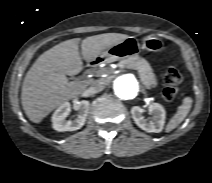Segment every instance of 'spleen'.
Instances as JSON below:
<instances>
[{"mask_svg":"<svg viewBox=\"0 0 212 183\" xmlns=\"http://www.w3.org/2000/svg\"><path fill=\"white\" fill-rule=\"evenodd\" d=\"M192 98L186 97L183 99L182 105L178 107L177 113L171 118L166 126V132H170L175 129L187 116L192 107Z\"/></svg>","mask_w":212,"mask_h":183,"instance_id":"1","label":"spleen"}]
</instances>
